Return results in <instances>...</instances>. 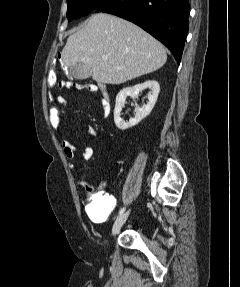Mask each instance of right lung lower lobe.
Here are the masks:
<instances>
[{
    "mask_svg": "<svg viewBox=\"0 0 240 287\" xmlns=\"http://www.w3.org/2000/svg\"><path fill=\"white\" fill-rule=\"evenodd\" d=\"M96 12L129 20L161 41L178 63L188 32V0H106Z\"/></svg>",
    "mask_w": 240,
    "mask_h": 287,
    "instance_id": "1",
    "label": "right lung lower lobe"
}]
</instances>
